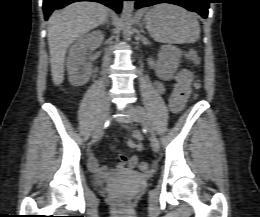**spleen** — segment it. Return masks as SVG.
<instances>
[{"label":"spleen","instance_id":"spleen-1","mask_svg":"<svg viewBox=\"0 0 260 217\" xmlns=\"http://www.w3.org/2000/svg\"><path fill=\"white\" fill-rule=\"evenodd\" d=\"M150 35L162 43H193L199 39L200 26L194 13L171 5H155L145 15Z\"/></svg>","mask_w":260,"mask_h":217}]
</instances>
